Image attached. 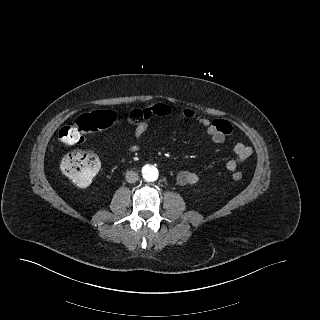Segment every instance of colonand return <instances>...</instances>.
<instances>
[{
  "label": "colon",
  "mask_w": 320,
  "mask_h": 320,
  "mask_svg": "<svg viewBox=\"0 0 320 320\" xmlns=\"http://www.w3.org/2000/svg\"><path fill=\"white\" fill-rule=\"evenodd\" d=\"M119 118L111 110H96L82 114L72 124L62 127L59 139L65 144H77L83 139V134L98 131L117 123ZM98 156L89 150H77L66 154L61 161L64 174L78 187L89 186L99 171ZM235 181L242 179L240 172L232 175Z\"/></svg>",
  "instance_id": "obj_1"
}]
</instances>
